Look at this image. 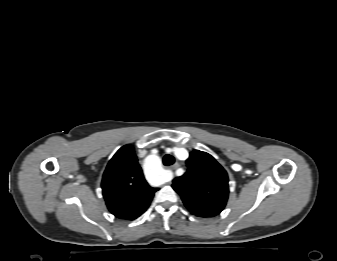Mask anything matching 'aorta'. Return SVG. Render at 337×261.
<instances>
[{"label":"aorta","instance_id":"762f6f07","mask_svg":"<svg viewBox=\"0 0 337 261\" xmlns=\"http://www.w3.org/2000/svg\"><path fill=\"white\" fill-rule=\"evenodd\" d=\"M149 162H150V171L152 173H158L161 174L163 176H166L168 174V171L163 170L160 166V160L157 156L152 155L149 158Z\"/></svg>","mask_w":337,"mask_h":261}]
</instances>
